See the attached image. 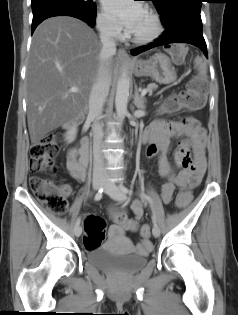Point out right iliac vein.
Segmentation results:
<instances>
[{"label":"right iliac vein","mask_w":238,"mask_h":315,"mask_svg":"<svg viewBox=\"0 0 238 315\" xmlns=\"http://www.w3.org/2000/svg\"><path fill=\"white\" fill-rule=\"evenodd\" d=\"M104 181L102 179H95L93 180L92 186L94 190H99L103 187ZM82 233V227L77 225L74 229L75 236H80Z\"/></svg>","instance_id":"right-iliac-vein-1"}]
</instances>
